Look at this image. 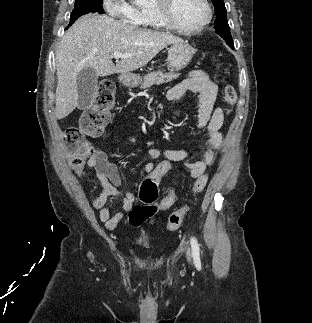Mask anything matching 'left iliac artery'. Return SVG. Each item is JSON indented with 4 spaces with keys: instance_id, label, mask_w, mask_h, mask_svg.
<instances>
[{
    "instance_id": "left-iliac-artery-1",
    "label": "left iliac artery",
    "mask_w": 312,
    "mask_h": 323,
    "mask_svg": "<svg viewBox=\"0 0 312 323\" xmlns=\"http://www.w3.org/2000/svg\"><path fill=\"white\" fill-rule=\"evenodd\" d=\"M190 243H191V247H192V255L194 257L195 264L197 267H201L199 244L195 238H191Z\"/></svg>"
}]
</instances>
